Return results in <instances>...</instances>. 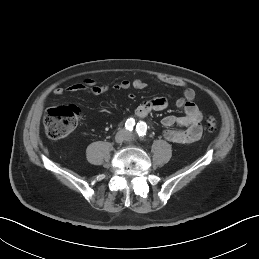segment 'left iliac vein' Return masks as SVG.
<instances>
[{
    "label": "left iliac vein",
    "mask_w": 259,
    "mask_h": 259,
    "mask_svg": "<svg viewBox=\"0 0 259 259\" xmlns=\"http://www.w3.org/2000/svg\"><path fill=\"white\" fill-rule=\"evenodd\" d=\"M132 140H133V136L130 133H128L126 137V141L131 142Z\"/></svg>",
    "instance_id": "4c4485c4"
}]
</instances>
